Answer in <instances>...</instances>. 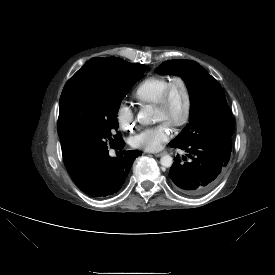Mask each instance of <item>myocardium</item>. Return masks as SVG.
<instances>
[{
  "mask_svg": "<svg viewBox=\"0 0 275 275\" xmlns=\"http://www.w3.org/2000/svg\"><path fill=\"white\" fill-rule=\"evenodd\" d=\"M177 82H180L185 90L186 93V104L183 111V114L179 119H177L172 125L174 127H181L187 124L191 118L192 112H193V106H194V98L192 89L188 83V80L181 74L174 75L169 78L167 84L165 85L164 89L162 90L157 102L154 104V106L157 109H165L168 108L171 101V95L173 92V89L175 87V84Z\"/></svg>",
  "mask_w": 275,
  "mask_h": 275,
  "instance_id": "myocardium-1",
  "label": "myocardium"
}]
</instances>
